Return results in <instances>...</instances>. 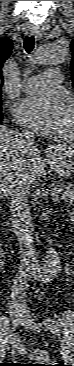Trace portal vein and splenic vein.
<instances>
[{
  "mask_svg": "<svg viewBox=\"0 0 74 366\" xmlns=\"http://www.w3.org/2000/svg\"><path fill=\"white\" fill-rule=\"evenodd\" d=\"M59 192H60V190H54L53 191L52 195L54 196V198L59 197Z\"/></svg>",
  "mask_w": 74,
  "mask_h": 366,
  "instance_id": "portal-vein-and-splenic-vein-1",
  "label": "portal vein and splenic vein"
}]
</instances>
